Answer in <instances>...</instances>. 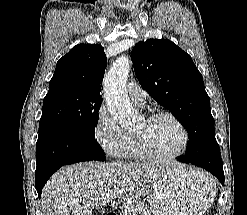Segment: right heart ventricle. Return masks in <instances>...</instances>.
<instances>
[{
	"label": "right heart ventricle",
	"instance_id": "1",
	"mask_svg": "<svg viewBox=\"0 0 247 215\" xmlns=\"http://www.w3.org/2000/svg\"><path fill=\"white\" fill-rule=\"evenodd\" d=\"M122 157L129 159H138L143 157L138 150L135 138L132 133H126V143L123 148Z\"/></svg>",
	"mask_w": 247,
	"mask_h": 215
}]
</instances>
